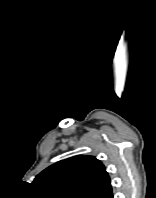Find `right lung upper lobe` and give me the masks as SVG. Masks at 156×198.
I'll use <instances>...</instances> for the list:
<instances>
[{
  "mask_svg": "<svg viewBox=\"0 0 156 198\" xmlns=\"http://www.w3.org/2000/svg\"><path fill=\"white\" fill-rule=\"evenodd\" d=\"M50 198H113L110 178L95 157L77 155L42 171L33 181Z\"/></svg>",
  "mask_w": 156,
  "mask_h": 198,
  "instance_id": "obj_1",
  "label": "right lung upper lobe"
}]
</instances>
